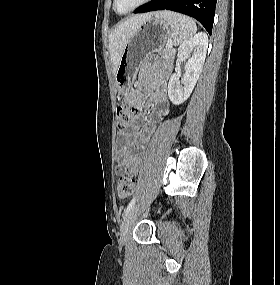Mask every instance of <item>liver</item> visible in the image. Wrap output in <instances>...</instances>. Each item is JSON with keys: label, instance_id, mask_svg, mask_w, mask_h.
I'll return each mask as SVG.
<instances>
[{"label": "liver", "instance_id": "6515ba94", "mask_svg": "<svg viewBox=\"0 0 280 285\" xmlns=\"http://www.w3.org/2000/svg\"><path fill=\"white\" fill-rule=\"evenodd\" d=\"M157 13H145L130 17L118 24L111 32L109 36V52L114 73H116L124 47L130 38L144 22L149 20L153 15L156 16Z\"/></svg>", "mask_w": 280, "mask_h": 285}]
</instances>
